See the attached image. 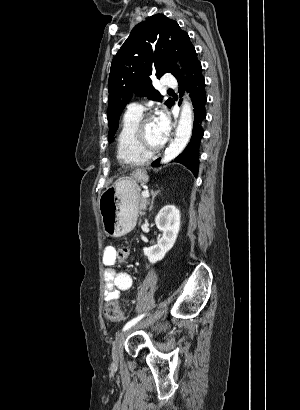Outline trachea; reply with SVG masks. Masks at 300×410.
<instances>
[{"mask_svg": "<svg viewBox=\"0 0 300 410\" xmlns=\"http://www.w3.org/2000/svg\"><path fill=\"white\" fill-rule=\"evenodd\" d=\"M172 91H173L172 89H169V90H168V92H172Z\"/></svg>", "mask_w": 300, "mask_h": 410, "instance_id": "trachea-1", "label": "trachea"}]
</instances>
